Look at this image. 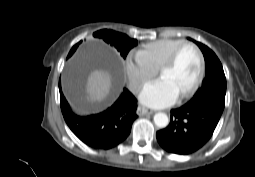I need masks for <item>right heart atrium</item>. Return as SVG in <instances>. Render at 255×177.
<instances>
[{"mask_svg": "<svg viewBox=\"0 0 255 177\" xmlns=\"http://www.w3.org/2000/svg\"><path fill=\"white\" fill-rule=\"evenodd\" d=\"M125 72L131 89L136 92L156 75L157 69L138 52L127 56Z\"/></svg>", "mask_w": 255, "mask_h": 177, "instance_id": "1", "label": "right heart atrium"}]
</instances>
